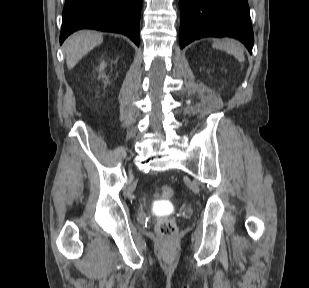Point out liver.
<instances>
[{
	"instance_id": "1",
	"label": "liver",
	"mask_w": 309,
	"mask_h": 288,
	"mask_svg": "<svg viewBox=\"0 0 309 288\" xmlns=\"http://www.w3.org/2000/svg\"><path fill=\"white\" fill-rule=\"evenodd\" d=\"M103 41V34L96 31H79L71 35L64 43L68 69L75 65L94 47Z\"/></svg>"
}]
</instances>
